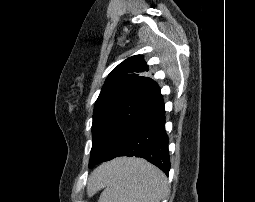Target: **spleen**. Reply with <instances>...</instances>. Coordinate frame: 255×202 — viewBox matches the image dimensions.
Wrapping results in <instances>:
<instances>
[{"mask_svg": "<svg viewBox=\"0 0 255 202\" xmlns=\"http://www.w3.org/2000/svg\"><path fill=\"white\" fill-rule=\"evenodd\" d=\"M104 188L98 202H160L167 192L162 171L143 159L120 158L100 169L92 181Z\"/></svg>", "mask_w": 255, "mask_h": 202, "instance_id": "obj_1", "label": "spleen"}]
</instances>
